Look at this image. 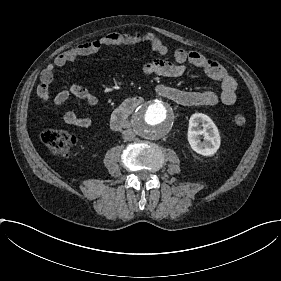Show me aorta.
I'll list each match as a JSON object with an SVG mask.
<instances>
[{
    "label": "aorta",
    "mask_w": 281,
    "mask_h": 281,
    "mask_svg": "<svg viewBox=\"0 0 281 281\" xmlns=\"http://www.w3.org/2000/svg\"><path fill=\"white\" fill-rule=\"evenodd\" d=\"M134 131L143 138L155 140L166 135L172 125L170 110L160 101L140 105L132 116Z\"/></svg>",
    "instance_id": "1"
}]
</instances>
